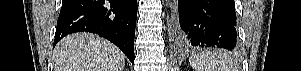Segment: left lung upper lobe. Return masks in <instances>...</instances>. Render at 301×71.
Wrapping results in <instances>:
<instances>
[{
	"label": "left lung upper lobe",
	"mask_w": 301,
	"mask_h": 71,
	"mask_svg": "<svg viewBox=\"0 0 301 71\" xmlns=\"http://www.w3.org/2000/svg\"><path fill=\"white\" fill-rule=\"evenodd\" d=\"M173 37L174 39L176 38L174 28H173Z\"/></svg>",
	"instance_id": "5c2ea615"
}]
</instances>
